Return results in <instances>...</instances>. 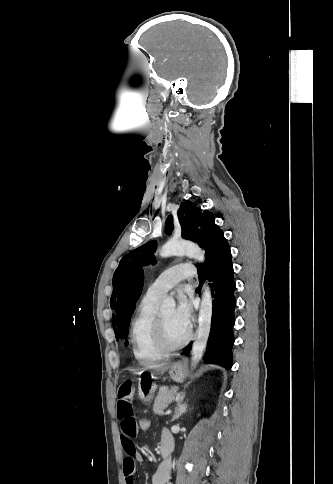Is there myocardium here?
I'll return each mask as SVG.
<instances>
[{
    "label": "myocardium",
    "instance_id": "myocardium-1",
    "mask_svg": "<svg viewBox=\"0 0 333 484\" xmlns=\"http://www.w3.org/2000/svg\"><path fill=\"white\" fill-rule=\"evenodd\" d=\"M191 336V330L189 329L186 336L181 341L177 343L169 342L165 331L164 321L160 314H156L154 322V339L157 347L164 354H169L183 348L190 341Z\"/></svg>",
    "mask_w": 333,
    "mask_h": 484
}]
</instances>
